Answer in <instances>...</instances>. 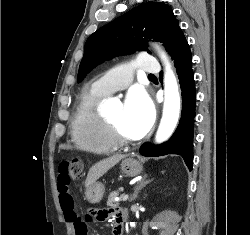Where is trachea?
<instances>
[{
    "label": "trachea",
    "mask_w": 250,
    "mask_h": 235,
    "mask_svg": "<svg viewBox=\"0 0 250 235\" xmlns=\"http://www.w3.org/2000/svg\"><path fill=\"white\" fill-rule=\"evenodd\" d=\"M148 77H155V75H153V74H149V75H148Z\"/></svg>",
    "instance_id": "trachea-1"
}]
</instances>
